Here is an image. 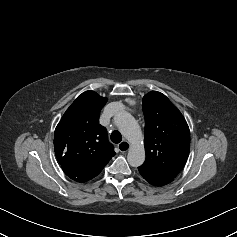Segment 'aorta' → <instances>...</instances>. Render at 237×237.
Returning a JSON list of instances; mask_svg holds the SVG:
<instances>
[{"label": "aorta", "mask_w": 237, "mask_h": 237, "mask_svg": "<svg viewBox=\"0 0 237 237\" xmlns=\"http://www.w3.org/2000/svg\"><path fill=\"white\" fill-rule=\"evenodd\" d=\"M114 123L122 135L130 142L127 160L132 167H139L145 161V148L142 131L136 120L126 111L114 116Z\"/></svg>", "instance_id": "1"}]
</instances>
